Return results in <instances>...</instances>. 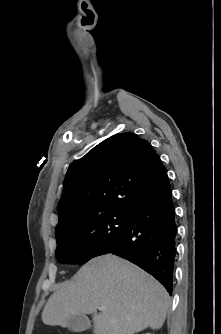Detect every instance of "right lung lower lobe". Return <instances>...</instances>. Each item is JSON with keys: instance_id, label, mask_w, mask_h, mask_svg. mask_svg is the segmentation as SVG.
<instances>
[{"instance_id": "1", "label": "right lung lower lobe", "mask_w": 221, "mask_h": 334, "mask_svg": "<svg viewBox=\"0 0 221 334\" xmlns=\"http://www.w3.org/2000/svg\"><path fill=\"white\" fill-rule=\"evenodd\" d=\"M176 236L175 208L167 179L132 210L119 242L100 255L113 253L131 261L153 275L171 295Z\"/></svg>"}]
</instances>
